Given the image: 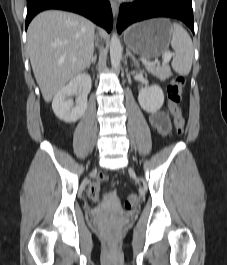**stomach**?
I'll list each match as a JSON object with an SVG mask.
<instances>
[{"label":"stomach","instance_id":"1","mask_svg":"<svg viewBox=\"0 0 227 265\" xmlns=\"http://www.w3.org/2000/svg\"><path fill=\"white\" fill-rule=\"evenodd\" d=\"M173 28L167 19H151L129 27L124 40L128 48L145 59L164 54L171 42Z\"/></svg>","mask_w":227,"mask_h":265}]
</instances>
